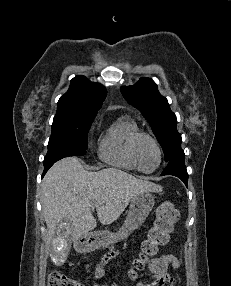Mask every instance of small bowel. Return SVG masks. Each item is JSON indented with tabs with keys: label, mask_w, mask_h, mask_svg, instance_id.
<instances>
[{
	"label": "small bowel",
	"mask_w": 231,
	"mask_h": 286,
	"mask_svg": "<svg viewBox=\"0 0 231 286\" xmlns=\"http://www.w3.org/2000/svg\"><path fill=\"white\" fill-rule=\"evenodd\" d=\"M118 251L113 250L104 254L94 265H87V270L93 279H100L104 275V266L114 257ZM169 267L178 270L180 267L179 260L172 254H164L152 258L149 262L151 280L140 282L137 286H174L175 279L168 273Z\"/></svg>",
	"instance_id": "1"
}]
</instances>
